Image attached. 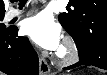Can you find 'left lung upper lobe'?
Returning <instances> with one entry per match:
<instances>
[{
    "mask_svg": "<svg viewBox=\"0 0 107 75\" xmlns=\"http://www.w3.org/2000/svg\"><path fill=\"white\" fill-rule=\"evenodd\" d=\"M67 10L69 13L59 15V21L73 37L79 57H88L94 49L91 32L100 25L107 30V0H69Z\"/></svg>",
    "mask_w": 107,
    "mask_h": 75,
    "instance_id": "1",
    "label": "left lung upper lobe"
}]
</instances>
